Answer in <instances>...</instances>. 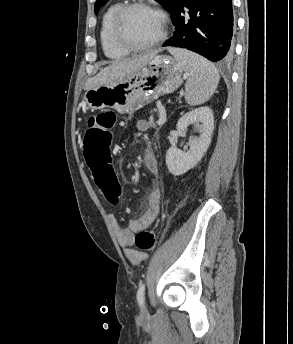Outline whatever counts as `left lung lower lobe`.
I'll return each mask as SVG.
<instances>
[{
	"label": "left lung lower lobe",
	"mask_w": 293,
	"mask_h": 344,
	"mask_svg": "<svg viewBox=\"0 0 293 344\" xmlns=\"http://www.w3.org/2000/svg\"><path fill=\"white\" fill-rule=\"evenodd\" d=\"M172 23L175 32L163 46L186 48L213 62L231 61L234 38L231 0H180Z\"/></svg>",
	"instance_id": "1"
}]
</instances>
